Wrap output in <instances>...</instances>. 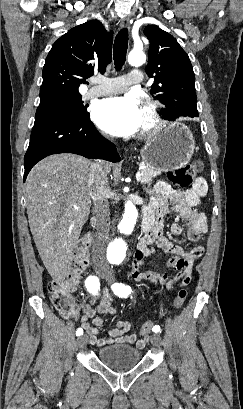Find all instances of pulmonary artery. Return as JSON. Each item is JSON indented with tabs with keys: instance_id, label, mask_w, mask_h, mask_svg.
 Returning <instances> with one entry per match:
<instances>
[{
	"instance_id": "e3ab8cb5",
	"label": "pulmonary artery",
	"mask_w": 243,
	"mask_h": 409,
	"mask_svg": "<svg viewBox=\"0 0 243 409\" xmlns=\"http://www.w3.org/2000/svg\"><path fill=\"white\" fill-rule=\"evenodd\" d=\"M142 80V72L134 69L127 75L107 78L99 76L95 79L97 85L90 88L86 96L87 97H100L110 94H116L125 91L132 84L140 83Z\"/></svg>"
}]
</instances>
